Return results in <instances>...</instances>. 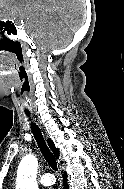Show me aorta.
<instances>
[{
    "label": "aorta",
    "mask_w": 124,
    "mask_h": 189,
    "mask_svg": "<svg viewBox=\"0 0 124 189\" xmlns=\"http://www.w3.org/2000/svg\"><path fill=\"white\" fill-rule=\"evenodd\" d=\"M37 169L38 161L35 156L23 157L17 170L16 189H38Z\"/></svg>",
    "instance_id": "obj_1"
}]
</instances>
